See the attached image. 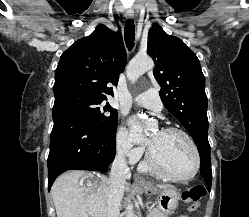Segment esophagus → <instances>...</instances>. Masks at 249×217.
Here are the masks:
<instances>
[{"label": "esophagus", "mask_w": 249, "mask_h": 217, "mask_svg": "<svg viewBox=\"0 0 249 217\" xmlns=\"http://www.w3.org/2000/svg\"><path fill=\"white\" fill-rule=\"evenodd\" d=\"M125 17L127 19H132L134 17V11H133V9H131V8L127 9L126 12H125ZM134 183L136 185H138V186H143V185L146 184V181L143 178H141V177L135 176Z\"/></svg>", "instance_id": "1"}]
</instances>
